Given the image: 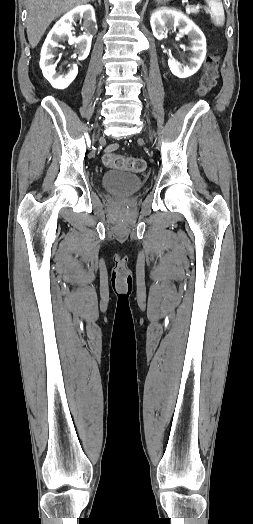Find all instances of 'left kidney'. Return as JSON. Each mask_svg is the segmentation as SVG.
<instances>
[{
	"mask_svg": "<svg viewBox=\"0 0 253 524\" xmlns=\"http://www.w3.org/2000/svg\"><path fill=\"white\" fill-rule=\"evenodd\" d=\"M150 24L153 35L158 39L167 37L168 31L179 27L181 35H187L191 41L190 62L182 66L173 57L168 59L171 72L179 78L195 74L201 67L206 55V38L202 31L181 12L161 7L151 15Z\"/></svg>",
	"mask_w": 253,
	"mask_h": 524,
	"instance_id": "obj_1",
	"label": "left kidney"
}]
</instances>
